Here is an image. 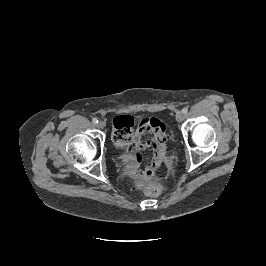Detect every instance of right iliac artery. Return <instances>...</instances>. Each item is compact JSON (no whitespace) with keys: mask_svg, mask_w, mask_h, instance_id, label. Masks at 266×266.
Returning a JSON list of instances; mask_svg holds the SVG:
<instances>
[{"mask_svg":"<svg viewBox=\"0 0 266 266\" xmlns=\"http://www.w3.org/2000/svg\"><path fill=\"white\" fill-rule=\"evenodd\" d=\"M92 122L96 124V123H98V119L97 118H93Z\"/></svg>","mask_w":266,"mask_h":266,"instance_id":"1","label":"right iliac artery"}]
</instances>
